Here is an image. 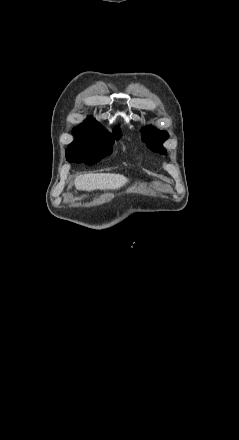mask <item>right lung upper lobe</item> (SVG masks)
I'll use <instances>...</instances> for the list:
<instances>
[{"label":"right lung upper lobe","mask_w":239,"mask_h":440,"mask_svg":"<svg viewBox=\"0 0 239 440\" xmlns=\"http://www.w3.org/2000/svg\"><path fill=\"white\" fill-rule=\"evenodd\" d=\"M85 123H98L96 122V120H94L93 118H88L87 120L84 121ZM118 128V127H117Z\"/></svg>","instance_id":"cb5924a9"}]
</instances>
